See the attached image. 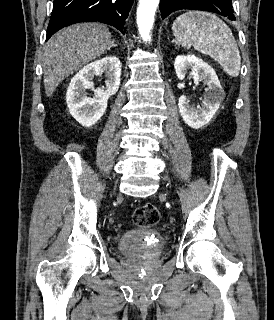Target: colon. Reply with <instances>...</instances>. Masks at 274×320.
I'll return each instance as SVG.
<instances>
[{"label": "colon", "instance_id": "1", "mask_svg": "<svg viewBox=\"0 0 274 320\" xmlns=\"http://www.w3.org/2000/svg\"><path fill=\"white\" fill-rule=\"evenodd\" d=\"M160 220V211L153 202H145L133 214V222L139 227H152Z\"/></svg>", "mask_w": 274, "mask_h": 320}]
</instances>
